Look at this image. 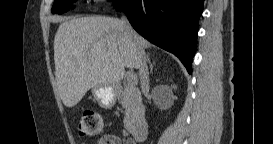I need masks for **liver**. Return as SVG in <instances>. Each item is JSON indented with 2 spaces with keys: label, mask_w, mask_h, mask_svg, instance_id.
Returning <instances> with one entry per match:
<instances>
[{
  "label": "liver",
  "mask_w": 273,
  "mask_h": 144,
  "mask_svg": "<svg viewBox=\"0 0 273 144\" xmlns=\"http://www.w3.org/2000/svg\"><path fill=\"white\" fill-rule=\"evenodd\" d=\"M143 48L150 43L139 36ZM55 76L59 96L74 107L97 86L115 87L125 67L138 68L134 39L113 17H82L60 24L54 39Z\"/></svg>",
  "instance_id": "6515ba94"
}]
</instances>
